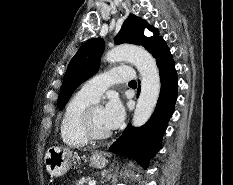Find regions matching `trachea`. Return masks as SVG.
<instances>
[{
  "mask_svg": "<svg viewBox=\"0 0 233 185\" xmlns=\"http://www.w3.org/2000/svg\"><path fill=\"white\" fill-rule=\"evenodd\" d=\"M129 84H136V81L132 80V81L129 82Z\"/></svg>",
  "mask_w": 233,
  "mask_h": 185,
  "instance_id": "trachea-1",
  "label": "trachea"
}]
</instances>
